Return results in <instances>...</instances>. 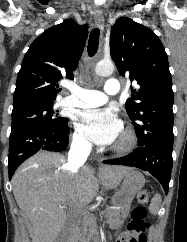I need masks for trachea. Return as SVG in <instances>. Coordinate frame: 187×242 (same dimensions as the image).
I'll return each mask as SVG.
<instances>
[{
    "label": "trachea",
    "mask_w": 187,
    "mask_h": 242,
    "mask_svg": "<svg viewBox=\"0 0 187 242\" xmlns=\"http://www.w3.org/2000/svg\"><path fill=\"white\" fill-rule=\"evenodd\" d=\"M99 34L100 31L98 28L93 29L90 33L88 42V54L90 57L94 56L98 50Z\"/></svg>",
    "instance_id": "3493384b"
}]
</instances>
